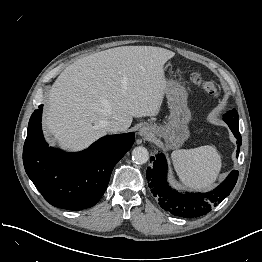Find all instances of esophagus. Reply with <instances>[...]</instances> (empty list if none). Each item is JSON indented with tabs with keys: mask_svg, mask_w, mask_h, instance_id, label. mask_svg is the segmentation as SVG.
<instances>
[{
	"mask_svg": "<svg viewBox=\"0 0 262 262\" xmlns=\"http://www.w3.org/2000/svg\"><path fill=\"white\" fill-rule=\"evenodd\" d=\"M138 134H139L141 137H143V138H145V139H147V140H152L153 137H154V134H153L151 128H149L148 126H143V127H141V128L139 129Z\"/></svg>",
	"mask_w": 262,
	"mask_h": 262,
	"instance_id": "34e87169",
	"label": "esophagus"
}]
</instances>
